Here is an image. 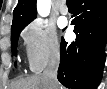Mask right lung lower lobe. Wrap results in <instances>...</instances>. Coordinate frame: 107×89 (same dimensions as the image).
<instances>
[{"instance_id": "obj_1", "label": "right lung lower lobe", "mask_w": 107, "mask_h": 89, "mask_svg": "<svg viewBox=\"0 0 107 89\" xmlns=\"http://www.w3.org/2000/svg\"><path fill=\"white\" fill-rule=\"evenodd\" d=\"M73 17L76 40H61L58 80L72 89H95L106 59L107 0H74Z\"/></svg>"}]
</instances>
